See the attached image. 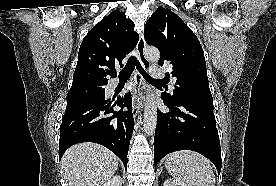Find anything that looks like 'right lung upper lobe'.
<instances>
[{"instance_id": "obj_1", "label": "right lung upper lobe", "mask_w": 276, "mask_h": 186, "mask_svg": "<svg viewBox=\"0 0 276 186\" xmlns=\"http://www.w3.org/2000/svg\"><path fill=\"white\" fill-rule=\"evenodd\" d=\"M138 38L134 23L124 12L112 11L104 17L81 43L71 89L106 85L108 77H115V66H123V58L135 48Z\"/></svg>"}]
</instances>
